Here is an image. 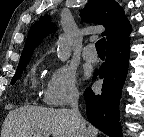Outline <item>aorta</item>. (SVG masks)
<instances>
[{"label":"aorta","mask_w":144,"mask_h":137,"mask_svg":"<svg viewBox=\"0 0 144 137\" xmlns=\"http://www.w3.org/2000/svg\"><path fill=\"white\" fill-rule=\"evenodd\" d=\"M57 56L61 61H66L71 55V42L68 37H60L56 43Z\"/></svg>","instance_id":"1"}]
</instances>
